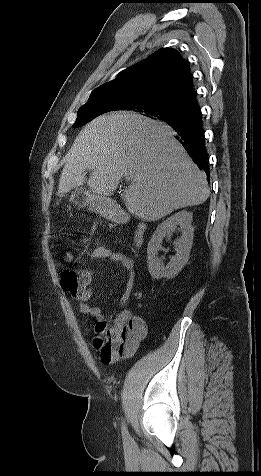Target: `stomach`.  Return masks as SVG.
I'll return each mask as SVG.
<instances>
[{"instance_id":"stomach-1","label":"stomach","mask_w":261,"mask_h":476,"mask_svg":"<svg viewBox=\"0 0 261 476\" xmlns=\"http://www.w3.org/2000/svg\"><path fill=\"white\" fill-rule=\"evenodd\" d=\"M70 202L80 208L89 206L103 216L113 217L108 207L110 200L105 196L92 193L84 188H75L71 192Z\"/></svg>"}]
</instances>
